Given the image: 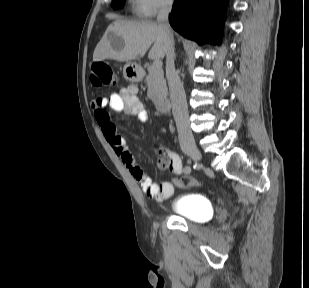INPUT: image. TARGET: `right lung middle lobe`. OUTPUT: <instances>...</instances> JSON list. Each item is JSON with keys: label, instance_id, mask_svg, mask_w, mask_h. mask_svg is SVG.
<instances>
[{"label": "right lung middle lobe", "instance_id": "1", "mask_svg": "<svg viewBox=\"0 0 309 288\" xmlns=\"http://www.w3.org/2000/svg\"><path fill=\"white\" fill-rule=\"evenodd\" d=\"M123 3L124 0H112V6L114 7V9L121 7Z\"/></svg>", "mask_w": 309, "mask_h": 288}]
</instances>
